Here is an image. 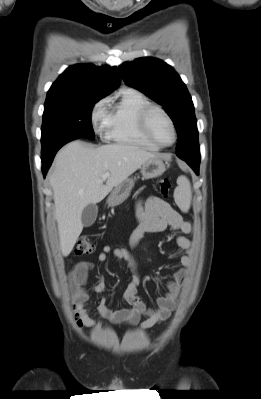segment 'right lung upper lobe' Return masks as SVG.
Returning a JSON list of instances; mask_svg holds the SVG:
<instances>
[{
    "instance_id": "cb5924a9",
    "label": "right lung upper lobe",
    "mask_w": 261,
    "mask_h": 399,
    "mask_svg": "<svg viewBox=\"0 0 261 399\" xmlns=\"http://www.w3.org/2000/svg\"><path fill=\"white\" fill-rule=\"evenodd\" d=\"M121 78L116 67L77 64L66 69L52 84L47 97H105L118 88Z\"/></svg>"
}]
</instances>
